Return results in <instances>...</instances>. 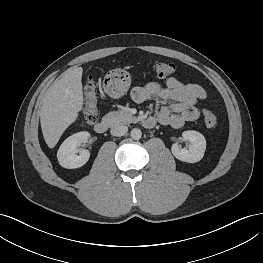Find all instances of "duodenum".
Segmentation results:
<instances>
[{
    "instance_id": "obj_1",
    "label": "duodenum",
    "mask_w": 263,
    "mask_h": 263,
    "mask_svg": "<svg viewBox=\"0 0 263 263\" xmlns=\"http://www.w3.org/2000/svg\"><path fill=\"white\" fill-rule=\"evenodd\" d=\"M142 124L146 128H152L156 124L155 118L149 116L142 120ZM111 126V120L110 119H103L99 122H97L94 126V129L99 134L106 133Z\"/></svg>"
}]
</instances>
